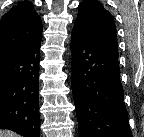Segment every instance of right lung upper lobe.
Segmentation results:
<instances>
[{
	"label": "right lung upper lobe",
	"instance_id": "cb5924a9",
	"mask_svg": "<svg viewBox=\"0 0 144 137\" xmlns=\"http://www.w3.org/2000/svg\"><path fill=\"white\" fill-rule=\"evenodd\" d=\"M42 37L41 18L28 1L13 6L0 21V59Z\"/></svg>",
	"mask_w": 144,
	"mask_h": 137
}]
</instances>
